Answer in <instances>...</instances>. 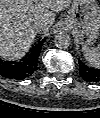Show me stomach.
<instances>
[{
  "label": "stomach",
  "instance_id": "stomach-1",
  "mask_svg": "<svg viewBox=\"0 0 100 118\" xmlns=\"http://www.w3.org/2000/svg\"><path fill=\"white\" fill-rule=\"evenodd\" d=\"M65 24L81 45H92L100 36V7L96 0H74Z\"/></svg>",
  "mask_w": 100,
  "mask_h": 118
}]
</instances>
